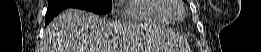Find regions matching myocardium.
I'll return each mask as SVG.
<instances>
[{
	"instance_id": "f54148a6",
	"label": "myocardium",
	"mask_w": 261,
	"mask_h": 52,
	"mask_svg": "<svg viewBox=\"0 0 261 52\" xmlns=\"http://www.w3.org/2000/svg\"><path fill=\"white\" fill-rule=\"evenodd\" d=\"M172 6L170 9L166 12V15L170 19L171 23L181 21L185 16V8L183 7L180 0H168ZM176 11H180V16L175 18L174 14Z\"/></svg>"
}]
</instances>
